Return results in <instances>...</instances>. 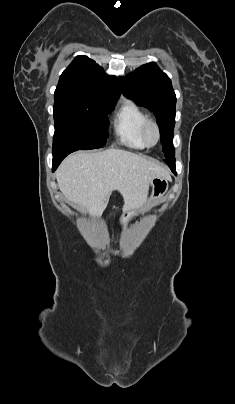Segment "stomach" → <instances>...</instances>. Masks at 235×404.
<instances>
[{
	"label": "stomach",
	"instance_id": "0dacf381",
	"mask_svg": "<svg viewBox=\"0 0 235 404\" xmlns=\"http://www.w3.org/2000/svg\"><path fill=\"white\" fill-rule=\"evenodd\" d=\"M151 187H152V193L150 198L142 205L139 209L136 210H130L128 212H125L121 218H120V224L123 227H126L129 223V221L137 216L139 212L144 211L145 209L149 208L153 204L159 203L163 200L165 194L168 191V180L161 178V177H155L151 181Z\"/></svg>",
	"mask_w": 235,
	"mask_h": 404
}]
</instances>
